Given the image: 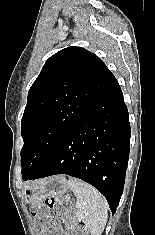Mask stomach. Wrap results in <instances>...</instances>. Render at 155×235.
<instances>
[{
	"label": "stomach",
	"mask_w": 155,
	"mask_h": 235,
	"mask_svg": "<svg viewBox=\"0 0 155 235\" xmlns=\"http://www.w3.org/2000/svg\"><path fill=\"white\" fill-rule=\"evenodd\" d=\"M67 190L66 179L56 176L25 186L24 197L27 203H36L46 198L60 196Z\"/></svg>",
	"instance_id": "1"
}]
</instances>
